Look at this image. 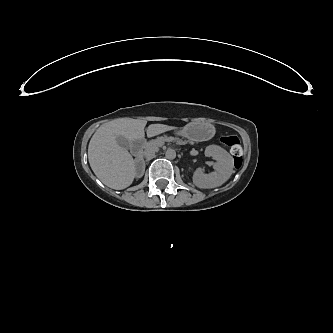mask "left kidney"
<instances>
[{
  "label": "left kidney",
  "mask_w": 333,
  "mask_h": 333,
  "mask_svg": "<svg viewBox=\"0 0 333 333\" xmlns=\"http://www.w3.org/2000/svg\"><path fill=\"white\" fill-rule=\"evenodd\" d=\"M213 159L216 161L213 163V172L207 174L201 170L195 171L193 183L198 188H215L221 186L230 178L232 168L230 161L226 158V152L216 147L213 151Z\"/></svg>",
  "instance_id": "left-kidney-1"
}]
</instances>
